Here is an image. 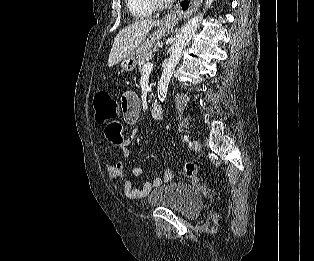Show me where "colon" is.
Returning a JSON list of instances; mask_svg holds the SVG:
<instances>
[{"instance_id": "obj_1", "label": "colon", "mask_w": 314, "mask_h": 261, "mask_svg": "<svg viewBox=\"0 0 314 261\" xmlns=\"http://www.w3.org/2000/svg\"><path fill=\"white\" fill-rule=\"evenodd\" d=\"M93 103L97 124L104 126L106 120H118L117 103L106 91L97 92ZM184 173L189 178H195L196 166L193 163H187L184 167Z\"/></svg>"}]
</instances>
